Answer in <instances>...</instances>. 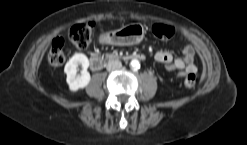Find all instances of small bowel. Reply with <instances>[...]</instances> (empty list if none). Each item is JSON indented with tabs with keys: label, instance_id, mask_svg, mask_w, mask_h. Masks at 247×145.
Wrapping results in <instances>:
<instances>
[{
	"label": "small bowel",
	"instance_id": "obj_1",
	"mask_svg": "<svg viewBox=\"0 0 247 145\" xmlns=\"http://www.w3.org/2000/svg\"><path fill=\"white\" fill-rule=\"evenodd\" d=\"M154 59L155 61L164 64L170 71L182 70L183 72H181L180 75L197 72L195 48L192 45L185 46L180 57H174L167 51H157L154 54Z\"/></svg>",
	"mask_w": 247,
	"mask_h": 145
}]
</instances>
